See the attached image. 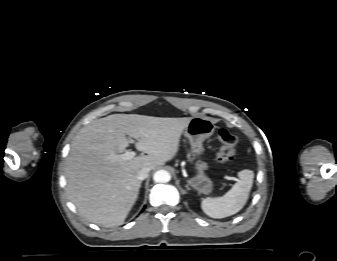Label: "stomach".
I'll list each match as a JSON object with an SVG mask.
<instances>
[{"instance_id": "0dacf381", "label": "stomach", "mask_w": 337, "mask_h": 261, "mask_svg": "<svg viewBox=\"0 0 337 261\" xmlns=\"http://www.w3.org/2000/svg\"><path fill=\"white\" fill-rule=\"evenodd\" d=\"M215 130L214 122L208 117H193L185 128L192 151L196 157L202 155L203 142L209 138ZM187 186L198 191L199 194L208 195L213 191L214 183L204 171V164L199 161L197 173L188 179Z\"/></svg>"}]
</instances>
